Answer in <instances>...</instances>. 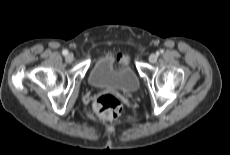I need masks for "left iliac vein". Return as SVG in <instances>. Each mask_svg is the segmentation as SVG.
<instances>
[{"label":"left iliac vein","instance_id":"left-iliac-vein-1","mask_svg":"<svg viewBox=\"0 0 230 155\" xmlns=\"http://www.w3.org/2000/svg\"><path fill=\"white\" fill-rule=\"evenodd\" d=\"M157 58H158L157 54L152 53L149 55L148 59L151 63H155L157 61Z\"/></svg>","mask_w":230,"mask_h":155}]
</instances>
